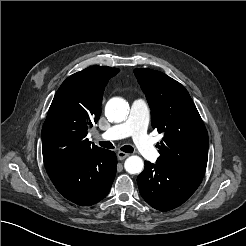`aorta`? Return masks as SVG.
<instances>
[{"mask_svg": "<svg viewBox=\"0 0 246 246\" xmlns=\"http://www.w3.org/2000/svg\"><path fill=\"white\" fill-rule=\"evenodd\" d=\"M128 109V103L124 99L113 98L107 102L105 114L108 120L118 123L127 118ZM124 167L129 174H139L143 171L144 162L139 156L133 155L125 160Z\"/></svg>", "mask_w": 246, "mask_h": 246, "instance_id": "aorta-1", "label": "aorta"}]
</instances>
